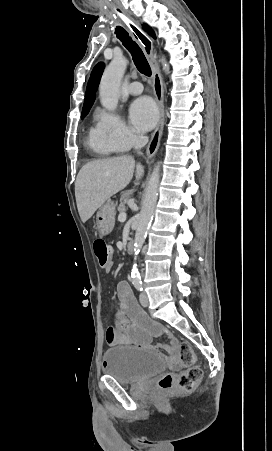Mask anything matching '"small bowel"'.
<instances>
[{
    "mask_svg": "<svg viewBox=\"0 0 272 451\" xmlns=\"http://www.w3.org/2000/svg\"><path fill=\"white\" fill-rule=\"evenodd\" d=\"M112 267L113 262L110 261L105 269L110 271ZM116 296L119 302L118 316L127 319L129 323L124 332L118 331L115 328L111 329L112 332L118 334L120 344L131 343L138 348L158 352L160 349L168 351V344H153L151 341L152 333H163L169 338L170 342L178 341L168 329L151 320L142 312L133 296L130 285L126 281H121L117 284Z\"/></svg>",
    "mask_w": 272,
    "mask_h": 451,
    "instance_id": "1",
    "label": "small bowel"
}]
</instances>
